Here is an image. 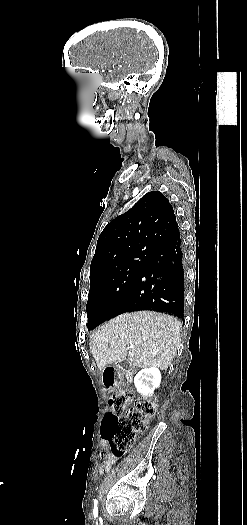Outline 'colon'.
Listing matches in <instances>:
<instances>
[{"instance_id":"1","label":"colon","mask_w":247,"mask_h":525,"mask_svg":"<svg viewBox=\"0 0 247 525\" xmlns=\"http://www.w3.org/2000/svg\"><path fill=\"white\" fill-rule=\"evenodd\" d=\"M112 411L106 414L99 435L110 445L114 457H122L133 445L136 435L157 410L156 399L133 402L132 393L119 389L110 398Z\"/></svg>"}]
</instances>
